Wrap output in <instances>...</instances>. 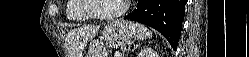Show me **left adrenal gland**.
I'll return each mask as SVG.
<instances>
[{
    "mask_svg": "<svg viewBox=\"0 0 249 57\" xmlns=\"http://www.w3.org/2000/svg\"><path fill=\"white\" fill-rule=\"evenodd\" d=\"M137 46H138V45H136V46L134 47V49H136V48H137Z\"/></svg>",
    "mask_w": 249,
    "mask_h": 57,
    "instance_id": "left-adrenal-gland-1",
    "label": "left adrenal gland"
}]
</instances>
